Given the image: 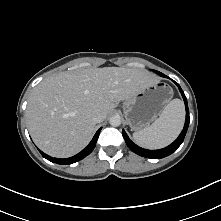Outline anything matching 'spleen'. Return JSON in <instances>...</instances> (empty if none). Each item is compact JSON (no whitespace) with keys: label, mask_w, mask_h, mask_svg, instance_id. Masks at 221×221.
Masks as SVG:
<instances>
[{"label":"spleen","mask_w":221,"mask_h":221,"mask_svg":"<svg viewBox=\"0 0 221 221\" xmlns=\"http://www.w3.org/2000/svg\"><path fill=\"white\" fill-rule=\"evenodd\" d=\"M185 118L183 102L170 101L150 126L133 134L135 142L141 147L158 149L170 144L180 133Z\"/></svg>","instance_id":"1"}]
</instances>
